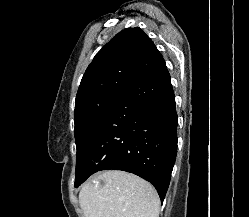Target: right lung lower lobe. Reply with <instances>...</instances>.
<instances>
[{"mask_svg":"<svg viewBox=\"0 0 249 217\" xmlns=\"http://www.w3.org/2000/svg\"><path fill=\"white\" fill-rule=\"evenodd\" d=\"M177 113L164 59L116 104L81 163L80 186L97 171L131 172L149 181L163 202L177 151Z\"/></svg>","mask_w":249,"mask_h":217,"instance_id":"98d812e1","label":"right lung lower lobe"}]
</instances>
